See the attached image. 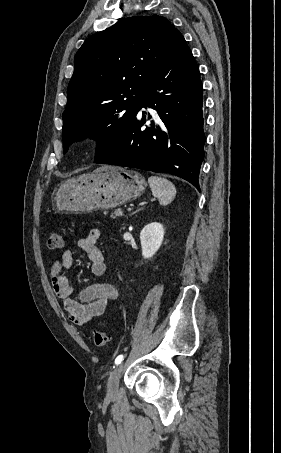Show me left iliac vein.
Masks as SVG:
<instances>
[{
    "label": "left iliac vein",
    "mask_w": 281,
    "mask_h": 453,
    "mask_svg": "<svg viewBox=\"0 0 281 453\" xmlns=\"http://www.w3.org/2000/svg\"><path fill=\"white\" fill-rule=\"evenodd\" d=\"M123 366L120 364L117 366L114 371H111L108 383H107V392L109 395H117L118 390H119V379H120V374L123 372Z\"/></svg>",
    "instance_id": "left-iliac-vein-1"
}]
</instances>
